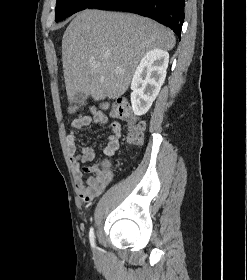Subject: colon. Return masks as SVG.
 Here are the masks:
<instances>
[{
    "label": "colon",
    "instance_id": "colon-1",
    "mask_svg": "<svg viewBox=\"0 0 247 280\" xmlns=\"http://www.w3.org/2000/svg\"><path fill=\"white\" fill-rule=\"evenodd\" d=\"M101 108L111 109L114 115L120 119L125 120L128 123L129 127V136L128 139L131 143L138 144L142 140V130L143 122L138 120L130 111L129 105L124 100H117L116 102L109 104H102ZM92 111H95V108H92ZM93 173V176H96L100 179H104L109 175V164L108 162H101L93 165L89 169H86Z\"/></svg>",
    "mask_w": 247,
    "mask_h": 280
}]
</instances>
